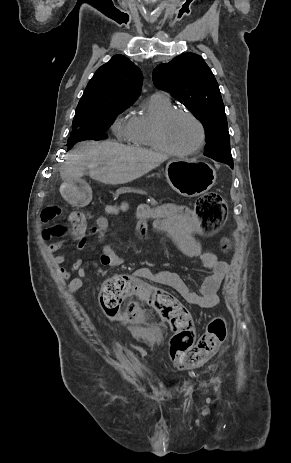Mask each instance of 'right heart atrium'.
<instances>
[{"label":"right heart atrium","mask_w":291,"mask_h":463,"mask_svg":"<svg viewBox=\"0 0 291 463\" xmlns=\"http://www.w3.org/2000/svg\"><path fill=\"white\" fill-rule=\"evenodd\" d=\"M113 131L118 139L128 141L131 133L130 119L125 116L118 117L113 124Z\"/></svg>","instance_id":"1"}]
</instances>
